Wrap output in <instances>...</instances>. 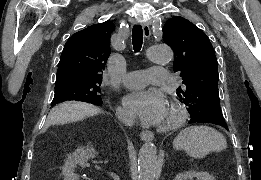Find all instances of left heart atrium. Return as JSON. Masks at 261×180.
Returning a JSON list of instances; mask_svg holds the SVG:
<instances>
[{
  "instance_id": "39dd6f15",
  "label": "left heart atrium",
  "mask_w": 261,
  "mask_h": 180,
  "mask_svg": "<svg viewBox=\"0 0 261 180\" xmlns=\"http://www.w3.org/2000/svg\"><path fill=\"white\" fill-rule=\"evenodd\" d=\"M166 103L165 95L157 89L132 90L123 99L128 113L149 122L158 120Z\"/></svg>"
}]
</instances>
